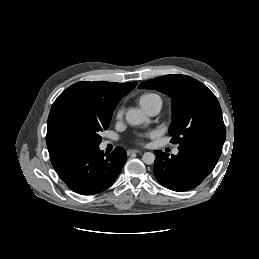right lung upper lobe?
<instances>
[{"label":"right lung upper lobe","instance_id":"1","mask_svg":"<svg viewBox=\"0 0 259 259\" xmlns=\"http://www.w3.org/2000/svg\"><path fill=\"white\" fill-rule=\"evenodd\" d=\"M137 82L116 83L96 81L77 82L65 89L55 100L48 117L46 142L50 144L51 124L55 114L64 107L74 106L101 114H113L118 102L126 96Z\"/></svg>","mask_w":259,"mask_h":259}]
</instances>
